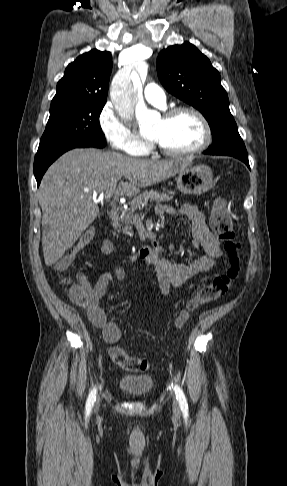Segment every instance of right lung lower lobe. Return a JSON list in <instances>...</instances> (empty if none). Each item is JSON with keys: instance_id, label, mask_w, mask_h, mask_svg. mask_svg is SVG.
I'll return each instance as SVG.
<instances>
[{"instance_id": "1", "label": "right lung lower lobe", "mask_w": 287, "mask_h": 486, "mask_svg": "<svg viewBox=\"0 0 287 486\" xmlns=\"http://www.w3.org/2000/svg\"><path fill=\"white\" fill-rule=\"evenodd\" d=\"M77 147H94L90 145H73V146H68L65 148L57 149V150H52L48 152H42V153H37L35 156L34 160V175L37 181V184L39 185L41 182V179L47 170V168L50 166L52 162H54L60 155H62L64 152L77 148Z\"/></svg>"}]
</instances>
